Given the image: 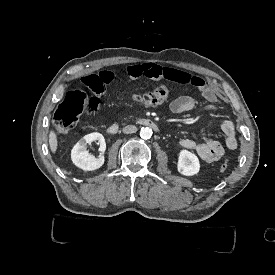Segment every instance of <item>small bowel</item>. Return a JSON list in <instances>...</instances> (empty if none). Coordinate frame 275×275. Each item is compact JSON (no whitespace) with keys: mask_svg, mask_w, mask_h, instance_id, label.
Segmentation results:
<instances>
[{"mask_svg":"<svg viewBox=\"0 0 275 275\" xmlns=\"http://www.w3.org/2000/svg\"><path fill=\"white\" fill-rule=\"evenodd\" d=\"M129 73L133 78L165 79L181 84H191L196 87L200 92L201 98L185 95L176 97L171 101L169 106L170 111L174 114H181L191 110L215 111L220 105V101L215 95L211 85L199 77H194L191 83L189 74L184 71L153 64H143L132 66ZM100 79L105 86H112L115 83V76L110 69H103L100 72ZM209 128L210 125L202 128V142H197L190 138L179 140L180 146L195 151L199 158L207 163L224 158L226 156V150H234L238 145L236 129L232 121L225 120L220 124V128L224 134L223 143L209 136Z\"/></svg>","mask_w":275,"mask_h":275,"instance_id":"c3829d8e","label":"small bowel"}]
</instances>
